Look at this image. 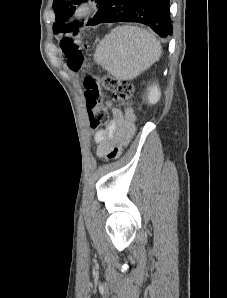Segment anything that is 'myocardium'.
Segmentation results:
<instances>
[{
	"instance_id": "obj_1",
	"label": "myocardium",
	"mask_w": 227,
	"mask_h": 298,
	"mask_svg": "<svg viewBox=\"0 0 227 298\" xmlns=\"http://www.w3.org/2000/svg\"><path fill=\"white\" fill-rule=\"evenodd\" d=\"M93 11V6L89 0L77 1L73 7L72 15L76 19L89 16Z\"/></svg>"
}]
</instances>
